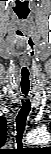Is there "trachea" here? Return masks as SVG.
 Masks as SVG:
<instances>
[{"label": "trachea", "instance_id": "obj_1", "mask_svg": "<svg viewBox=\"0 0 51 154\" xmlns=\"http://www.w3.org/2000/svg\"><path fill=\"white\" fill-rule=\"evenodd\" d=\"M27 114L28 113H25L24 110H21L18 117L16 118L17 140H20V141L23 136L25 120H26Z\"/></svg>", "mask_w": 51, "mask_h": 154}]
</instances>
